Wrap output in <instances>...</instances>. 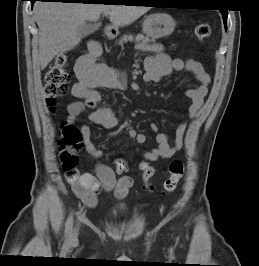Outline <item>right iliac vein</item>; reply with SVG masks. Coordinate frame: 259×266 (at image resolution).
Returning <instances> with one entry per match:
<instances>
[{
  "label": "right iliac vein",
  "mask_w": 259,
  "mask_h": 266,
  "mask_svg": "<svg viewBox=\"0 0 259 266\" xmlns=\"http://www.w3.org/2000/svg\"><path fill=\"white\" fill-rule=\"evenodd\" d=\"M77 235H78V227L75 228V230H74V232L72 234V240H76Z\"/></svg>",
  "instance_id": "obj_1"
}]
</instances>
